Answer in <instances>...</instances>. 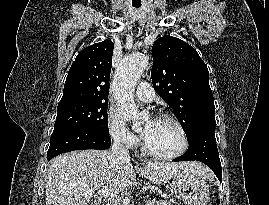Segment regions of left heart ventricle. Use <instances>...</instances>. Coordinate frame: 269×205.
<instances>
[{
	"instance_id": "left-heart-ventricle-1",
	"label": "left heart ventricle",
	"mask_w": 269,
	"mask_h": 205,
	"mask_svg": "<svg viewBox=\"0 0 269 205\" xmlns=\"http://www.w3.org/2000/svg\"><path fill=\"white\" fill-rule=\"evenodd\" d=\"M148 123L144 126L147 127ZM146 145L154 152L169 154L179 150L182 138L173 123L166 120H155L148 135L144 138Z\"/></svg>"
}]
</instances>
